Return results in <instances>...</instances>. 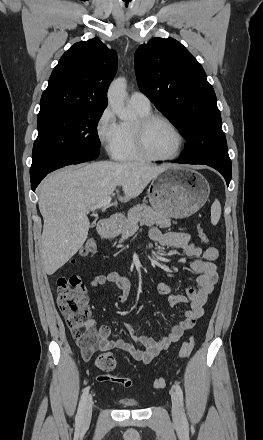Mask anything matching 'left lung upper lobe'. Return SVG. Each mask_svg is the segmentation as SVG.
<instances>
[{
    "instance_id": "left-lung-upper-lobe-1",
    "label": "left lung upper lobe",
    "mask_w": 263,
    "mask_h": 440,
    "mask_svg": "<svg viewBox=\"0 0 263 440\" xmlns=\"http://www.w3.org/2000/svg\"><path fill=\"white\" fill-rule=\"evenodd\" d=\"M140 90L187 139V163L231 164L213 87L201 64L173 38H154L135 52Z\"/></svg>"
}]
</instances>
